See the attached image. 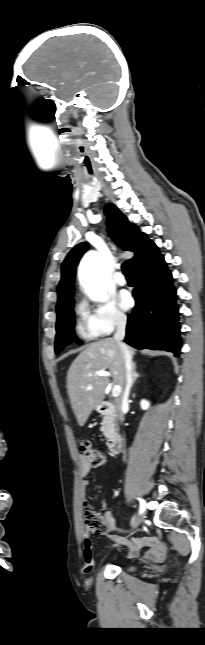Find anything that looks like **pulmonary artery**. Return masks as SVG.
<instances>
[{"label":"pulmonary artery","mask_w":205,"mask_h":645,"mask_svg":"<svg viewBox=\"0 0 205 645\" xmlns=\"http://www.w3.org/2000/svg\"><path fill=\"white\" fill-rule=\"evenodd\" d=\"M113 281L119 286H125L127 283L125 276L120 271L113 274Z\"/></svg>","instance_id":"e3ab8cb5"}]
</instances>
